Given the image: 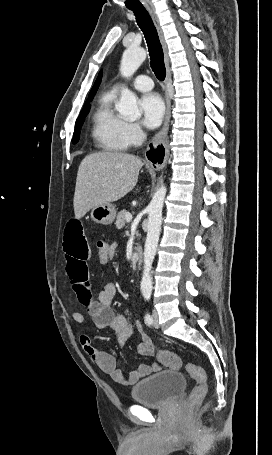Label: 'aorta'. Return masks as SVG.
Here are the masks:
<instances>
[{
	"mask_svg": "<svg viewBox=\"0 0 272 455\" xmlns=\"http://www.w3.org/2000/svg\"><path fill=\"white\" fill-rule=\"evenodd\" d=\"M145 59V49L140 47H128L124 51L121 59L120 72L122 76L126 78L132 76ZM116 109L122 116L131 121H134L141 116V112L137 106V97L127 88L121 90L120 101L116 105ZM166 191L167 189L165 186L158 188L147 207L148 231L144 248V267L141 280V292L144 294H150L152 291L150 271L159 241L162 224V209Z\"/></svg>",
	"mask_w": 272,
	"mask_h": 455,
	"instance_id": "obj_1",
	"label": "aorta"
}]
</instances>
